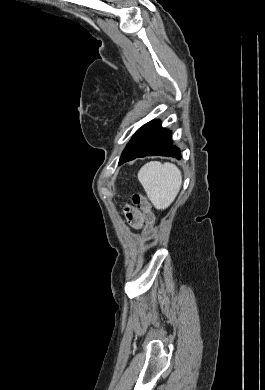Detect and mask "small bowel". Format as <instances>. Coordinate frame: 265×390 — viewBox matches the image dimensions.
Returning <instances> with one entry per match:
<instances>
[{"label": "small bowel", "instance_id": "small-bowel-1", "mask_svg": "<svg viewBox=\"0 0 265 390\" xmlns=\"http://www.w3.org/2000/svg\"><path fill=\"white\" fill-rule=\"evenodd\" d=\"M126 216L135 228L143 227L144 217L139 210L129 207L126 209Z\"/></svg>", "mask_w": 265, "mask_h": 390}]
</instances>
